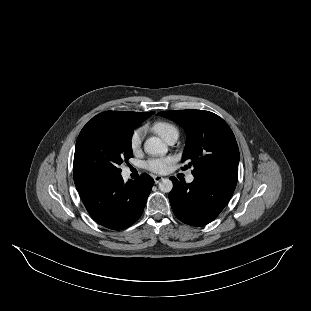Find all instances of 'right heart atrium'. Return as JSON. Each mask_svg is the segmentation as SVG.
<instances>
[{
	"label": "right heart atrium",
	"instance_id": "1",
	"mask_svg": "<svg viewBox=\"0 0 311 311\" xmlns=\"http://www.w3.org/2000/svg\"><path fill=\"white\" fill-rule=\"evenodd\" d=\"M144 135V127H138L132 131L129 137V148L132 153H136L140 149Z\"/></svg>",
	"mask_w": 311,
	"mask_h": 311
}]
</instances>
